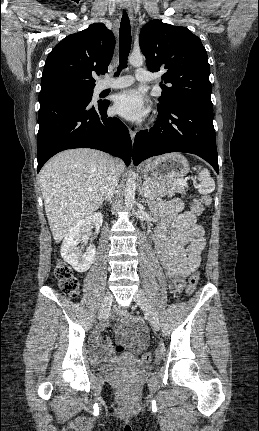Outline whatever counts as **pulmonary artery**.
I'll return each instance as SVG.
<instances>
[{"label": "pulmonary artery", "instance_id": "pulmonary-artery-1", "mask_svg": "<svg viewBox=\"0 0 259 431\" xmlns=\"http://www.w3.org/2000/svg\"><path fill=\"white\" fill-rule=\"evenodd\" d=\"M135 79L140 82H150L151 74L145 69H137ZM134 79L131 76L124 75L116 78H107L99 86V90L120 89L130 86Z\"/></svg>", "mask_w": 259, "mask_h": 431}]
</instances>
